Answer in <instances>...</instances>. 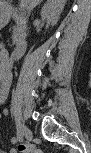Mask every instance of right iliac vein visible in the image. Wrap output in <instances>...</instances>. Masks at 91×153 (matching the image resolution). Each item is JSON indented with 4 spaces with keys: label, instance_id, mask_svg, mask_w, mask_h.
I'll use <instances>...</instances> for the list:
<instances>
[{
    "label": "right iliac vein",
    "instance_id": "right-iliac-vein-1",
    "mask_svg": "<svg viewBox=\"0 0 91 153\" xmlns=\"http://www.w3.org/2000/svg\"><path fill=\"white\" fill-rule=\"evenodd\" d=\"M16 119H17V126H18L20 132L22 133V135L28 141H31L33 135H32V132L30 131V129H28L19 118H16Z\"/></svg>",
    "mask_w": 91,
    "mask_h": 153
}]
</instances>
